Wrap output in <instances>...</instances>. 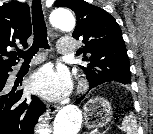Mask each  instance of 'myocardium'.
Segmentation results:
<instances>
[{
	"instance_id": "myocardium-1",
	"label": "myocardium",
	"mask_w": 153,
	"mask_h": 134,
	"mask_svg": "<svg viewBox=\"0 0 153 134\" xmlns=\"http://www.w3.org/2000/svg\"><path fill=\"white\" fill-rule=\"evenodd\" d=\"M85 87V82L84 81H81L80 84H79V88L80 89H83Z\"/></svg>"
}]
</instances>
